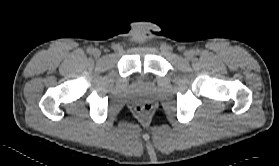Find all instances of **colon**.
<instances>
[{
  "label": "colon",
  "mask_w": 279,
  "mask_h": 166,
  "mask_svg": "<svg viewBox=\"0 0 279 166\" xmlns=\"http://www.w3.org/2000/svg\"><path fill=\"white\" fill-rule=\"evenodd\" d=\"M151 105L150 104H141L136 107L137 114L144 116L151 112Z\"/></svg>",
  "instance_id": "obj_1"
}]
</instances>
